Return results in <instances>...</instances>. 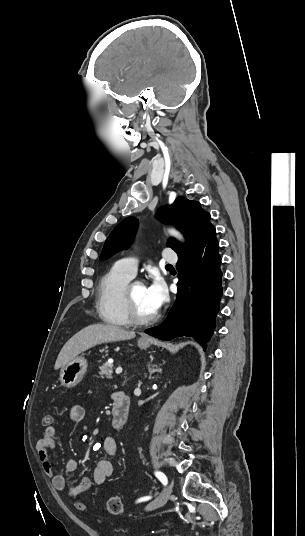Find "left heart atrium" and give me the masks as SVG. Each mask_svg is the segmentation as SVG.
<instances>
[{"instance_id":"obj_1","label":"left heart atrium","mask_w":305,"mask_h":536,"mask_svg":"<svg viewBox=\"0 0 305 536\" xmlns=\"http://www.w3.org/2000/svg\"><path fill=\"white\" fill-rule=\"evenodd\" d=\"M145 288L147 303L153 311H156L163 303L165 297L163 283L158 277L154 276Z\"/></svg>"}]
</instances>
